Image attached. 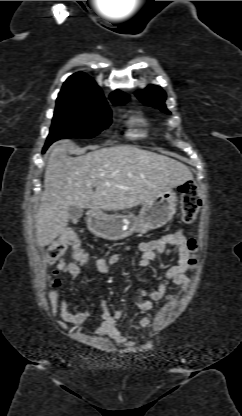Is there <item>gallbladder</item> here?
I'll return each mask as SVG.
<instances>
[{
    "mask_svg": "<svg viewBox=\"0 0 242 416\" xmlns=\"http://www.w3.org/2000/svg\"><path fill=\"white\" fill-rule=\"evenodd\" d=\"M68 214H69V218L71 220H73V221L78 220L79 218L82 217L83 210L78 208V207H75V206H70L69 209H68Z\"/></svg>",
    "mask_w": 242,
    "mask_h": 416,
    "instance_id": "bac80fb5",
    "label": "gallbladder"
}]
</instances>
